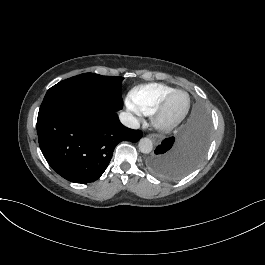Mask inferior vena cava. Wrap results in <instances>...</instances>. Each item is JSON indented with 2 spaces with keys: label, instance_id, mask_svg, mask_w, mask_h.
I'll return each mask as SVG.
<instances>
[{
  "label": "inferior vena cava",
  "instance_id": "inferior-vena-cava-1",
  "mask_svg": "<svg viewBox=\"0 0 265 265\" xmlns=\"http://www.w3.org/2000/svg\"><path fill=\"white\" fill-rule=\"evenodd\" d=\"M120 121L124 126L130 129L138 130L140 128L138 120L129 113L120 114Z\"/></svg>",
  "mask_w": 265,
  "mask_h": 265
}]
</instances>
